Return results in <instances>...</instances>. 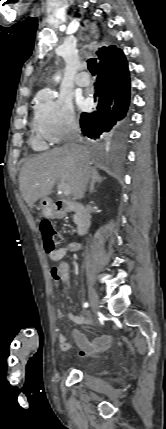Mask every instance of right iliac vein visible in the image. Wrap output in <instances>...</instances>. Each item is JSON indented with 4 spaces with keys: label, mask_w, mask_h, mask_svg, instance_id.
<instances>
[{
    "label": "right iliac vein",
    "mask_w": 166,
    "mask_h": 429,
    "mask_svg": "<svg viewBox=\"0 0 166 429\" xmlns=\"http://www.w3.org/2000/svg\"><path fill=\"white\" fill-rule=\"evenodd\" d=\"M88 293H89V300L91 303V307L96 312L100 308L98 295H97L95 289L91 286H89V288H88Z\"/></svg>",
    "instance_id": "63e3f726"
}]
</instances>
